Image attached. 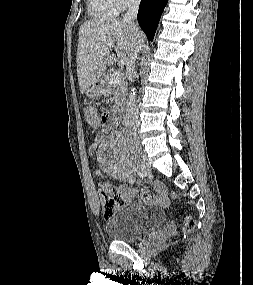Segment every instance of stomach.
Wrapping results in <instances>:
<instances>
[{"label": "stomach", "mask_w": 253, "mask_h": 285, "mask_svg": "<svg viewBox=\"0 0 253 285\" xmlns=\"http://www.w3.org/2000/svg\"><path fill=\"white\" fill-rule=\"evenodd\" d=\"M104 93L103 84L100 81L94 83L90 88L86 90V95L89 98L97 99Z\"/></svg>", "instance_id": "0dacf381"}]
</instances>
